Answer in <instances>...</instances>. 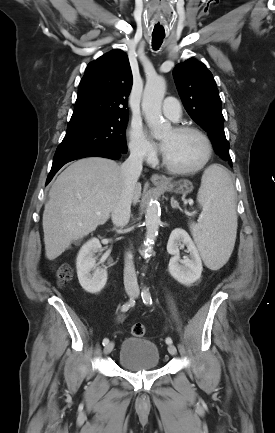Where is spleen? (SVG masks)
<instances>
[{
  "label": "spleen",
  "mask_w": 275,
  "mask_h": 433,
  "mask_svg": "<svg viewBox=\"0 0 275 433\" xmlns=\"http://www.w3.org/2000/svg\"><path fill=\"white\" fill-rule=\"evenodd\" d=\"M235 190L228 171L221 165L209 166L201 179L197 201L202 207V221L190 229L198 250L212 270L229 259L236 240L237 215Z\"/></svg>",
  "instance_id": "spleen-1"
}]
</instances>
